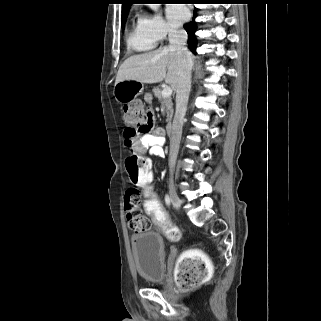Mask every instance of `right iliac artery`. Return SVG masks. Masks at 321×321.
<instances>
[{
  "label": "right iliac artery",
  "instance_id": "82829eb1",
  "mask_svg": "<svg viewBox=\"0 0 321 321\" xmlns=\"http://www.w3.org/2000/svg\"><path fill=\"white\" fill-rule=\"evenodd\" d=\"M165 202H166L167 206H170V204H171V199H170L169 195H166V196H165Z\"/></svg>",
  "mask_w": 321,
  "mask_h": 321
}]
</instances>
